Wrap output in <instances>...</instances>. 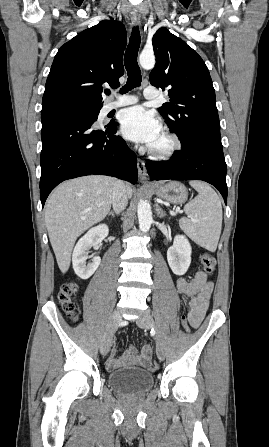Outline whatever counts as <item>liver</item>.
<instances>
[{
  "label": "liver",
  "mask_w": 269,
  "mask_h": 447,
  "mask_svg": "<svg viewBox=\"0 0 269 447\" xmlns=\"http://www.w3.org/2000/svg\"><path fill=\"white\" fill-rule=\"evenodd\" d=\"M114 184V178L108 176H84L63 182L49 196L45 224L62 273L69 269L77 237L110 212ZM126 192L132 198L131 184Z\"/></svg>",
  "instance_id": "6515ba94"
}]
</instances>
